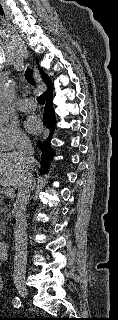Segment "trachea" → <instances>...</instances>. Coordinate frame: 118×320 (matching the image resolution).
<instances>
[{"instance_id":"obj_1","label":"trachea","mask_w":118,"mask_h":320,"mask_svg":"<svg viewBox=\"0 0 118 320\" xmlns=\"http://www.w3.org/2000/svg\"><path fill=\"white\" fill-rule=\"evenodd\" d=\"M32 74H33V71L30 68H28L26 70V72H25V78L29 83H31L32 85H35L34 79L32 77ZM37 101L40 104H44L45 103V99H44V97L42 95L37 97Z\"/></svg>"}]
</instances>
